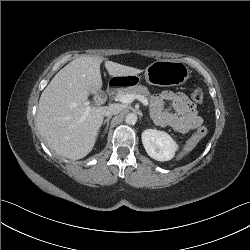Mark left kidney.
Returning <instances> with one entry per match:
<instances>
[{"mask_svg": "<svg viewBox=\"0 0 250 250\" xmlns=\"http://www.w3.org/2000/svg\"><path fill=\"white\" fill-rule=\"evenodd\" d=\"M142 143L147 154L157 161L171 160L178 149V145L169 134L155 129L143 131Z\"/></svg>", "mask_w": 250, "mask_h": 250, "instance_id": "5707ae66", "label": "left kidney"}]
</instances>
